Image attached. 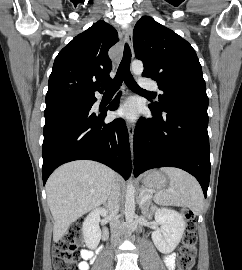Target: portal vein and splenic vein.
Instances as JSON below:
<instances>
[{
    "label": "portal vein and splenic vein",
    "instance_id": "obj_1",
    "mask_svg": "<svg viewBox=\"0 0 242 270\" xmlns=\"http://www.w3.org/2000/svg\"><path fill=\"white\" fill-rule=\"evenodd\" d=\"M151 196H145L144 198H143V201H146L148 198H150Z\"/></svg>",
    "mask_w": 242,
    "mask_h": 270
}]
</instances>
